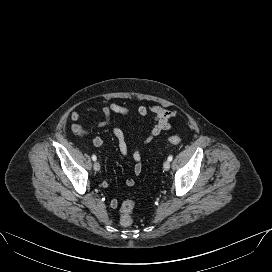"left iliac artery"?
I'll return each instance as SVG.
<instances>
[{"label": "left iliac artery", "instance_id": "left-iliac-artery-1", "mask_svg": "<svg viewBox=\"0 0 272 272\" xmlns=\"http://www.w3.org/2000/svg\"><path fill=\"white\" fill-rule=\"evenodd\" d=\"M172 160H173V156L170 155V156L168 157V161L170 162V161H172Z\"/></svg>", "mask_w": 272, "mask_h": 272}]
</instances>
